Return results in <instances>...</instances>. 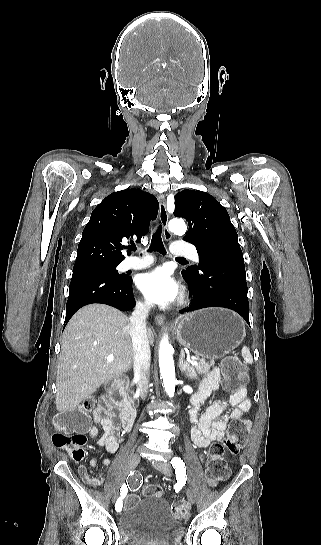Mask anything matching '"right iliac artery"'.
Instances as JSON below:
<instances>
[{
  "mask_svg": "<svg viewBox=\"0 0 321 545\" xmlns=\"http://www.w3.org/2000/svg\"><path fill=\"white\" fill-rule=\"evenodd\" d=\"M126 494H127V486L126 484H124L120 489V498L115 504L116 511H121L122 509L121 500L126 496Z\"/></svg>",
  "mask_w": 321,
  "mask_h": 545,
  "instance_id": "1",
  "label": "right iliac artery"
}]
</instances>
